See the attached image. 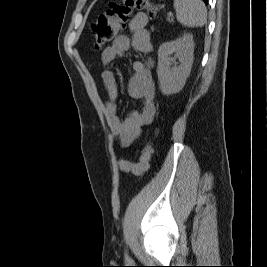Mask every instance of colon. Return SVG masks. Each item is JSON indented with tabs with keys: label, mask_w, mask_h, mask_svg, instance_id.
Here are the masks:
<instances>
[{
	"label": "colon",
	"mask_w": 267,
	"mask_h": 267,
	"mask_svg": "<svg viewBox=\"0 0 267 267\" xmlns=\"http://www.w3.org/2000/svg\"><path fill=\"white\" fill-rule=\"evenodd\" d=\"M135 8L147 10L150 16H155L158 10L157 6L148 0L111 1L106 13L100 15L92 24L96 48H102L117 36ZM151 154L152 145L148 143L142 149L137 162L120 159L118 161L119 168L125 173L141 175L149 168Z\"/></svg>",
	"instance_id": "obj_1"
}]
</instances>
